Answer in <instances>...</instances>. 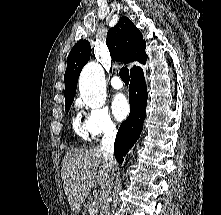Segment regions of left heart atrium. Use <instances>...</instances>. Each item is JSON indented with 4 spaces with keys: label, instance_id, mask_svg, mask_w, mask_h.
<instances>
[{
    "label": "left heart atrium",
    "instance_id": "1",
    "mask_svg": "<svg viewBox=\"0 0 221 215\" xmlns=\"http://www.w3.org/2000/svg\"><path fill=\"white\" fill-rule=\"evenodd\" d=\"M112 111L116 119H125L130 111L128 99L124 94H117L112 102Z\"/></svg>",
    "mask_w": 221,
    "mask_h": 215
}]
</instances>
